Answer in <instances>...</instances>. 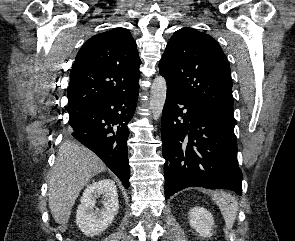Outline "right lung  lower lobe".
<instances>
[{"label": "right lung lower lobe", "mask_w": 295, "mask_h": 241, "mask_svg": "<svg viewBox=\"0 0 295 241\" xmlns=\"http://www.w3.org/2000/svg\"><path fill=\"white\" fill-rule=\"evenodd\" d=\"M138 83L128 91L94 98L68 111L70 135L98 155L129 187L127 127L137 104Z\"/></svg>", "instance_id": "obj_1"}]
</instances>
